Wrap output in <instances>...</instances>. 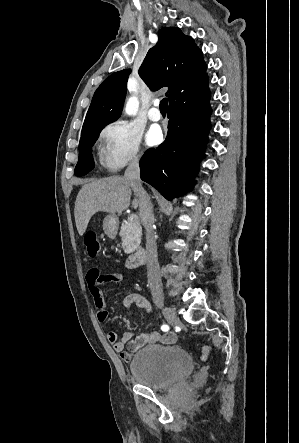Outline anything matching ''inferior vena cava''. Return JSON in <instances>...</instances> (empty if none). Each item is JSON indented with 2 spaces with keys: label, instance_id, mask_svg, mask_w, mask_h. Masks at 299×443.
Segmentation results:
<instances>
[{
  "label": "inferior vena cava",
  "instance_id": "602c4592",
  "mask_svg": "<svg viewBox=\"0 0 299 443\" xmlns=\"http://www.w3.org/2000/svg\"><path fill=\"white\" fill-rule=\"evenodd\" d=\"M124 178L129 181L139 201L141 222L146 230L147 277L153 297L162 296V282L157 256V244L154 234V215L152 204L147 192L143 189L140 179L139 158L136 157L127 167Z\"/></svg>",
  "mask_w": 299,
  "mask_h": 443
}]
</instances>
